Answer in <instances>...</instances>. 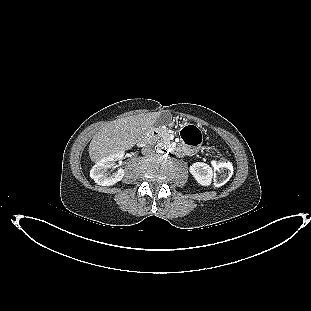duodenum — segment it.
I'll list each match as a JSON object with an SVG mask.
<instances>
[{"mask_svg":"<svg viewBox=\"0 0 311 311\" xmlns=\"http://www.w3.org/2000/svg\"><path fill=\"white\" fill-rule=\"evenodd\" d=\"M159 136V131L157 129H152L139 141V144L144 145L149 140L159 138ZM170 152L177 155L182 152V149L171 148Z\"/></svg>","mask_w":311,"mask_h":311,"instance_id":"obj_1","label":"duodenum"}]
</instances>
